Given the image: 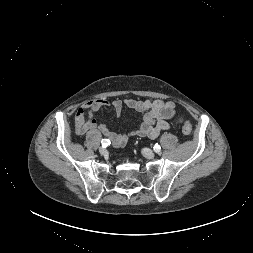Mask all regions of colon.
<instances>
[{
	"mask_svg": "<svg viewBox=\"0 0 253 253\" xmlns=\"http://www.w3.org/2000/svg\"><path fill=\"white\" fill-rule=\"evenodd\" d=\"M182 132L185 135H190L192 133V126L188 121H185L182 126Z\"/></svg>",
	"mask_w": 253,
	"mask_h": 253,
	"instance_id": "5ec220e1",
	"label": "colon"
}]
</instances>
